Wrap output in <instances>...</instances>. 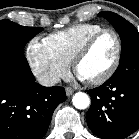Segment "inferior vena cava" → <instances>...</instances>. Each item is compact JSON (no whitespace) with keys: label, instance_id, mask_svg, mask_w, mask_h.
I'll list each match as a JSON object with an SVG mask.
<instances>
[{"label":"inferior vena cava","instance_id":"602c4592","mask_svg":"<svg viewBox=\"0 0 139 139\" xmlns=\"http://www.w3.org/2000/svg\"><path fill=\"white\" fill-rule=\"evenodd\" d=\"M38 82L43 86H54L59 82V77L49 73H43L37 76Z\"/></svg>","mask_w":139,"mask_h":139}]
</instances>
